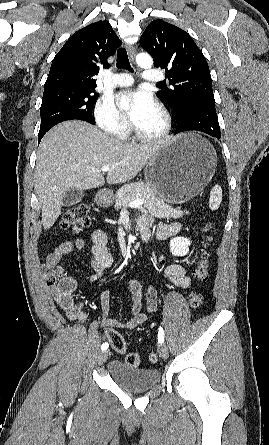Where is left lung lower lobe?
<instances>
[{
	"label": "left lung lower lobe",
	"instance_id": "0a47b994",
	"mask_svg": "<svg viewBox=\"0 0 269 445\" xmlns=\"http://www.w3.org/2000/svg\"><path fill=\"white\" fill-rule=\"evenodd\" d=\"M190 130L201 131L217 139L221 137L215 104L195 103L188 106L185 117L177 122L174 134Z\"/></svg>",
	"mask_w": 269,
	"mask_h": 445
}]
</instances>
